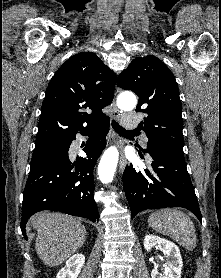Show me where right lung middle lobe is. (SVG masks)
Listing matches in <instances>:
<instances>
[{
    "label": "right lung middle lobe",
    "mask_w": 221,
    "mask_h": 278,
    "mask_svg": "<svg viewBox=\"0 0 221 278\" xmlns=\"http://www.w3.org/2000/svg\"><path fill=\"white\" fill-rule=\"evenodd\" d=\"M61 141L62 140L36 146L32 155L31 165L39 162L47 152H49L54 147L58 146L61 143Z\"/></svg>",
    "instance_id": "obj_1"
}]
</instances>
